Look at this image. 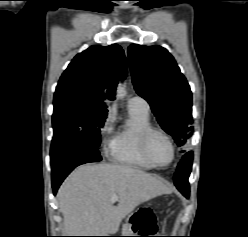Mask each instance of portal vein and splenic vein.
I'll list each match as a JSON object with an SVG mask.
<instances>
[{
	"label": "portal vein and splenic vein",
	"mask_w": 248,
	"mask_h": 237,
	"mask_svg": "<svg viewBox=\"0 0 248 237\" xmlns=\"http://www.w3.org/2000/svg\"><path fill=\"white\" fill-rule=\"evenodd\" d=\"M118 199H119V197L117 195H112L111 198H110V200L112 202H116Z\"/></svg>",
	"instance_id": "18ae733b"
}]
</instances>
